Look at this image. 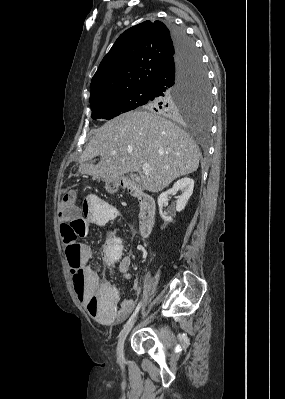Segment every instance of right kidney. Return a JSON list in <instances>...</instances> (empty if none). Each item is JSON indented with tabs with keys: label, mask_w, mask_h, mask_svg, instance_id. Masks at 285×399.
Wrapping results in <instances>:
<instances>
[{
	"label": "right kidney",
	"mask_w": 285,
	"mask_h": 399,
	"mask_svg": "<svg viewBox=\"0 0 285 399\" xmlns=\"http://www.w3.org/2000/svg\"><path fill=\"white\" fill-rule=\"evenodd\" d=\"M193 188H194V180L185 177L178 180L176 183H174L172 188H170L169 190H167L166 192L162 193L159 196L158 198L159 213L164 221L171 222L173 220L171 216H167L165 213H163V205L167 203L168 196L176 194L179 190L182 191V194L178 197L176 202V211L180 212L185 208L189 198L191 197L193 193Z\"/></svg>",
	"instance_id": "obj_1"
}]
</instances>
